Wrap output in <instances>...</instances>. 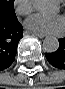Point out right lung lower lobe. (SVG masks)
<instances>
[{
    "label": "right lung lower lobe",
    "mask_w": 65,
    "mask_h": 89,
    "mask_svg": "<svg viewBox=\"0 0 65 89\" xmlns=\"http://www.w3.org/2000/svg\"><path fill=\"white\" fill-rule=\"evenodd\" d=\"M23 37V27L16 20H0V71L11 66L17 46Z\"/></svg>",
    "instance_id": "1"
}]
</instances>
